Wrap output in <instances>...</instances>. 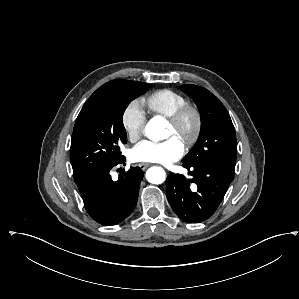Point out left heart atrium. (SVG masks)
I'll use <instances>...</instances> for the list:
<instances>
[{
    "instance_id": "1",
    "label": "left heart atrium",
    "mask_w": 299,
    "mask_h": 299,
    "mask_svg": "<svg viewBox=\"0 0 299 299\" xmlns=\"http://www.w3.org/2000/svg\"><path fill=\"white\" fill-rule=\"evenodd\" d=\"M184 154V145L176 137L162 142L142 140L129 153L134 162H155L169 165L179 160Z\"/></svg>"
}]
</instances>
